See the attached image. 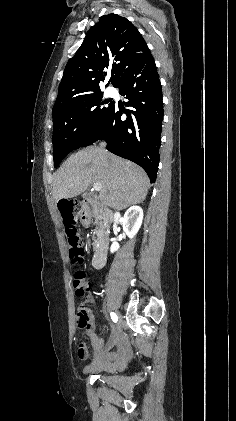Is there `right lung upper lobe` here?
Returning <instances> with one entry per match:
<instances>
[{
  "instance_id": "cb5924a9",
  "label": "right lung upper lobe",
  "mask_w": 236,
  "mask_h": 421,
  "mask_svg": "<svg viewBox=\"0 0 236 421\" xmlns=\"http://www.w3.org/2000/svg\"><path fill=\"white\" fill-rule=\"evenodd\" d=\"M149 55L145 40L128 19L117 14L102 16L69 59L53 110L73 99L101 92L104 70L111 69L109 82L115 84L127 69Z\"/></svg>"
}]
</instances>
